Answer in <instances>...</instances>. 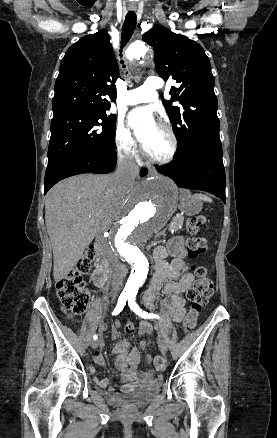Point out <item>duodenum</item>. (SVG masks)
I'll return each instance as SVG.
<instances>
[{
    "label": "duodenum",
    "mask_w": 277,
    "mask_h": 438,
    "mask_svg": "<svg viewBox=\"0 0 277 438\" xmlns=\"http://www.w3.org/2000/svg\"><path fill=\"white\" fill-rule=\"evenodd\" d=\"M95 250L97 252V257L95 260V270L92 275V280L97 287H103L108 279L109 264L103 248L99 243L95 244ZM153 258L155 261L158 260V256L156 254L153 255Z\"/></svg>",
    "instance_id": "obj_1"
}]
</instances>
